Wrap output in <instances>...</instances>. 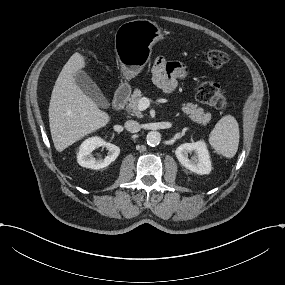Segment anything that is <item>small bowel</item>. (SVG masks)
<instances>
[{
    "label": "small bowel",
    "mask_w": 285,
    "mask_h": 285,
    "mask_svg": "<svg viewBox=\"0 0 285 285\" xmlns=\"http://www.w3.org/2000/svg\"><path fill=\"white\" fill-rule=\"evenodd\" d=\"M188 69L181 63L166 61L159 57L152 66V80L154 84L166 93L173 92L178 81L184 79Z\"/></svg>",
    "instance_id": "small-bowel-1"
}]
</instances>
